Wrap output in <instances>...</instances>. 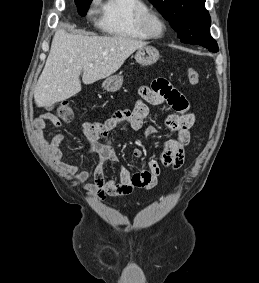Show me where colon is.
<instances>
[{
  "label": "colon",
  "mask_w": 259,
  "mask_h": 283,
  "mask_svg": "<svg viewBox=\"0 0 259 283\" xmlns=\"http://www.w3.org/2000/svg\"><path fill=\"white\" fill-rule=\"evenodd\" d=\"M187 78L189 82L193 85H198L200 83V74L197 69L190 67L187 70ZM56 116L65 121H70L75 118V113L72 105L69 102L61 103L56 109Z\"/></svg>",
  "instance_id": "1"
}]
</instances>
